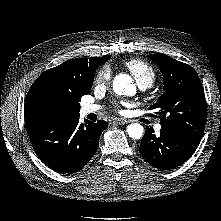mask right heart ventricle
<instances>
[{
  "label": "right heart ventricle",
  "mask_w": 221,
  "mask_h": 221,
  "mask_svg": "<svg viewBox=\"0 0 221 221\" xmlns=\"http://www.w3.org/2000/svg\"><path fill=\"white\" fill-rule=\"evenodd\" d=\"M126 68L130 71L138 85L150 87L155 79L156 73L153 67L140 59H130L125 62Z\"/></svg>",
  "instance_id": "right-heart-ventricle-1"
}]
</instances>
